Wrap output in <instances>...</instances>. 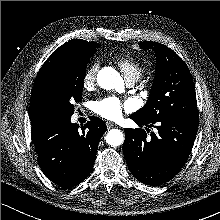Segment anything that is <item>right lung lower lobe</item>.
<instances>
[{
  "label": "right lung lower lobe",
  "instance_id": "right-lung-lower-lobe-1",
  "mask_svg": "<svg viewBox=\"0 0 220 220\" xmlns=\"http://www.w3.org/2000/svg\"><path fill=\"white\" fill-rule=\"evenodd\" d=\"M70 118L45 115L31 122L39 166L49 180L63 188L74 187L88 177L106 131L104 121L97 117H91L82 132Z\"/></svg>",
  "mask_w": 220,
  "mask_h": 220
}]
</instances>
